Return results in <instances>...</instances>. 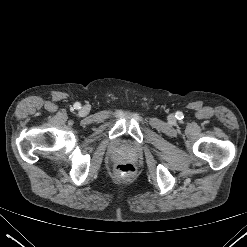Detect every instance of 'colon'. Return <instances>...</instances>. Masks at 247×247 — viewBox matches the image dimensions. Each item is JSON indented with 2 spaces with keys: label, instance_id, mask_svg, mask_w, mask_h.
I'll return each mask as SVG.
<instances>
[{
  "label": "colon",
  "instance_id": "colon-1",
  "mask_svg": "<svg viewBox=\"0 0 247 247\" xmlns=\"http://www.w3.org/2000/svg\"><path fill=\"white\" fill-rule=\"evenodd\" d=\"M116 171L121 176H129L135 172V167L134 165L130 163H122V164L117 165Z\"/></svg>",
  "mask_w": 247,
  "mask_h": 247
}]
</instances>
